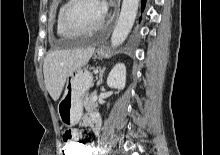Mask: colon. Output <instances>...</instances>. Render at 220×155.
Segmentation results:
<instances>
[{
	"label": "colon",
	"mask_w": 220,
	"mask_h": 155,
	"mask_svg": "<svg viewBox=\"0 0 220 155\" xmlns=\"http://www.w3.org/2000/svg\"><path fill=\"white\" fill-rule=\"evenodd\" d=\"M86 147L88 142H84L83 139L65 141L64 146H61V155H85Z\"/></svg>",
	"instance_id": "colon-1"
}]
</instances>
